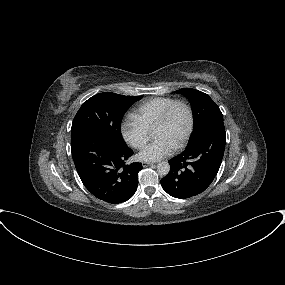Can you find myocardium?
<instances>
[{
	"label": "myocardium",
	"mask_w": 285,
	"mask_h": 285,
	"mask_svg": "<svg viewBox=\"0 0 285 285\" xmlns=\"http://www.w3.org/2000/svg\"><path fill=\"white\" fill-rule=\"evenodd\" d=\"M177 106H183L187 110L189 122H188V128H187V131L185 133L184 138L182 139V141L178 145L175 146L176 150L183 148L187 144V142L189 141V139L192 135V132L194 129V113H193L192 107L187 102H185L183 100H175L172 104H170L164 110V112L158 118L157 122L155 123V125L153 127L155 129L159 126L164 125L168 121L172 112L174 111V109Z\"/></svg>",
	"instance_id": "f54148a6"
}]
</instances>
